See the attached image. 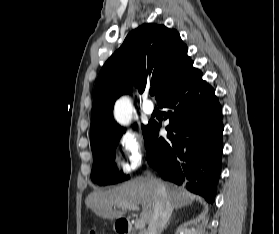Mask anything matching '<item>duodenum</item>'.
<instances>
[{"instance_id": "duodenum-1", "label": "duodenum", "mask_w": 279, "mask_h": 234, "mask_svg": "<svg viewBox=\"0 0 279 234\" xmlns=\"http://www.w3.org/2000/svg\"><path fill=\"white\" fill-rule=\"evenodd\" d=\"M116 229L119 234H130L132 227L128 221L120 220L118 221Z\"/></svg>"}]
</instances>
